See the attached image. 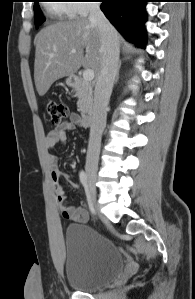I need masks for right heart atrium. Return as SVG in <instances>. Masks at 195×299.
Here are the masks:
<instances>
[{"label": "right heart atrium", "mask_w": 195, "mask_h": 299, "mask_svg": "<svg viewBox=\"0 0 195 299\" xmlns=\"http://www.w3.org/2000/svg\"><path fill=\"white\" fill-rule=\"evenodd\" d=\"M91 2L93 0H73L69 2L72 14L78 16L88 15L93 10Z\"/></svg>", "instance_id": "obj_1"}]
</instances>
